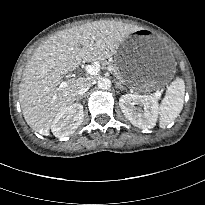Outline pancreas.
Here are the masks:
<instances>
[{
	"mask_svg": "<svg viewBox=\"0 0 205 205\" xmlns=\"http://www.w3.org/2000/svg\"><path fill=\"white\" fill-rule=\"evenodd\" d=\"M101 64H102V66H104V67H108V68H110V70L114 73V74H116V75H120L119 74V68L117 67V65L116 64H114V63H112V62H107V61H105V60H101Z\"/></svg>",
	"mask_w": 205,
	"mask_h": 205,
	"instance_id": "obj_1",
	"label": "pancreas"
}]
</instances>
